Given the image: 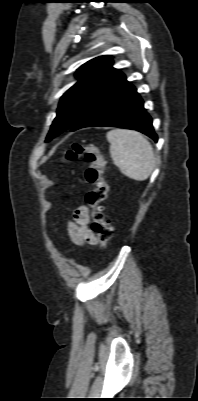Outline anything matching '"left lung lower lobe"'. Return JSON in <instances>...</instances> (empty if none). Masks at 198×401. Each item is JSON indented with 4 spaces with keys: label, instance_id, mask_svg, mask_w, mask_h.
<instances>
[{
    "label": "left lung lower lobe",
    "instance_id": "1",
    "mask_svg": "<svg viewBox=\"0 0 198 401\" xmlns=\"http://www.w3.org/2000/svg\"><path fill=\"white\" fill-rule=\"evenodd\" d=\"M92 126L134 129L157 141L142 99L121 72L90 102L70 131Z\"/></svg>",
    "mask_w": 198,
    "mask_h": 401
}]
</instances>
